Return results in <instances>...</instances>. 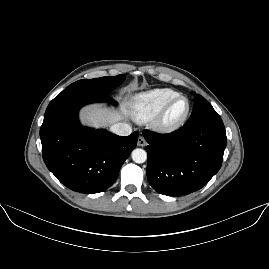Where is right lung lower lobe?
Wrapping results in <instances>:
<instances>
[{"label":"right lung lower lobe","mask_w":269,"mask_h":269,"mask_svg":"<svg viewBox=\"0 0 269 269\" xmlns=\"http://www.w3.org/2000/svg\"><path fill=\"white\" fill-rule=\"evenodd\" d=\"M112 100L107 94L62 91L48 105L40 129L43 160L69 189L87 194L105 191L136 147L138 132L121 137L79 123L85 104Z\"/></svg>","instance_id":"98d812e1"}]
</instances>
